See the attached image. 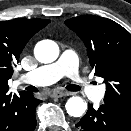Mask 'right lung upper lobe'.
<instances>
[{"mask_svg": "<svg viewBox=\"0 0 131 131\" xmlns=\"http://www.w3.org/2000/svg\"><path fill=\"white\" fill-rule=\"evenodd\" d=\"M48 19H14L0 22V91L8 90L13 66L29 39L44 28Z\"/></svg>", "mask_w": 131, "mask_h": 131, "instance_id": "cb5924a9", "label": "right lung upper lobe"}]
</instances>
